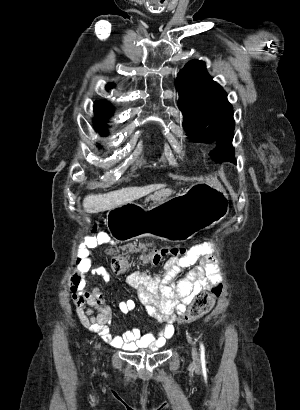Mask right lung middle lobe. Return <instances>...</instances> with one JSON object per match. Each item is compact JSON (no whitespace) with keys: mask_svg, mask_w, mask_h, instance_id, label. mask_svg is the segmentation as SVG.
Returning a JSON list of instances; mask_svg holds the SVG:
<instances>
[{"mask_svg":"<svg viewBox=\"0 0 300 410\" xmlns=\"http://www.w3.org/2000/svg\"><path fill=\"white\" fill-rule=\"evenodd\" d=\"M96 105V104H95ZM94 109H95V114L97 115V117H98V119H101V121H99V120H96L95 122H96V124H97V127H98V129H99V131L102 133V134H104V135H107L108 133H107V130L105 129V120H106V116H104V115H101L97 110H96V107L94 106Z\"/></svg>","mask_w":300,"mask_h":410,"instance_id":"right-lung-middle-lobe-1","label":"right lung middle lobe"}]
</instances>
